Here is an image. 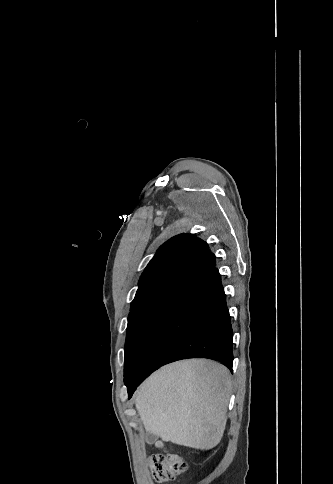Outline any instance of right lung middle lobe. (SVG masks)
I'll use <instances>...</instances> for the list:
<instances>
[{
  "label": "right lung middle lobe",
  "mask_w": 333,
  "mask_h": 484,
  "mask_svg": "<svg viewBox=\"0 0 333 484\" xmlns=\"http://www.w3.org/2000/svg\"><path fill=\"white\" fill-rule=\"evenodd\" d=\"M165 297L166 295L147 301L137 306L136 308L131 309L129 313L124 361L125 384L128 383L131 377L133 366L138 356V348L141 343L146 326L152 314Z\"/></svg>",
  "instance_id": "dd1d6c3e"
}]
</instances>
